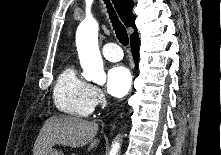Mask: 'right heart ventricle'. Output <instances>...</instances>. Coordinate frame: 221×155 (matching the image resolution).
Masks as SVG:
<instances>
[{
	"label": "right heart ventricle",
	"instance_id": "1",
	"mask_svg": "<svg viewBox=\"0 0 221 155\" xmlns=\"http://www.w3.org/2000/svg\"><path fill=\"white\" fill-rule=\"evenodd\" d=\"M91 85L81 78L74 66H66L57 78L53 98L61 112L86 117L93 111L94 105L90 96Z\"/></svg>",
	"mask_w": 221,
	"mask_h": 155
}]
</instances>
